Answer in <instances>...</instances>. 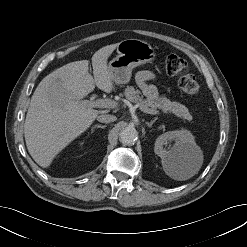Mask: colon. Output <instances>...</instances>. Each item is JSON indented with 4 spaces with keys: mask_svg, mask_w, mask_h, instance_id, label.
<instances>
[{
    "mask_svg": "<svg viewBox=\"0 0 247 247\" xmlns=\"http://www.w3.org/2000/svg\"><path fill=\"white\" fill-rule=\"evenodd\" d=\"M166 71L169 75L178 76L180 89L188 95L199 92L200 86L193 74L189 72L187 62L176 54H171L165 61Z\"/></svg>",
    "mask_w": 247,
    "mask_h": 247,
    "instance_id": "1",
    "label": "colon"
}]
</instances>
